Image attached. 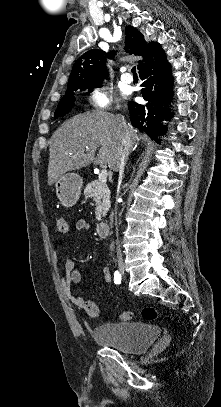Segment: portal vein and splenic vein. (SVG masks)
Returning <instances> with one entry per match:
<instances>
[{
	"label": "portal vein and splenic vein",
	"mask_w": 221,
	"mask_h": 407,
	"mask_svg": "<svg viewBox=\"0 0 221 407\" xmlns=\"http://www.w3.org/2000/svg\"><path fill=\"white\" fill-rule=\"evenodd\" d=\"M88 149V148H87ZM108 177V171L106 169H102L98 175V179L100 182L105 183Z\"/></svg>",
	"instance_id": "1"
}]
</instances>
